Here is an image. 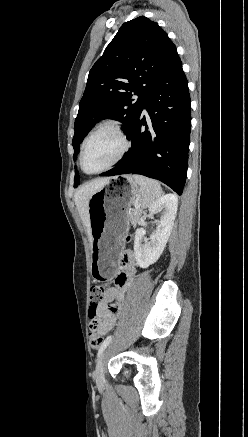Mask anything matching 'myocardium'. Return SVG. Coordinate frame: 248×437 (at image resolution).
I'll return each mask as SVG.
<instances>
[{
  "label": "myocardium",
  "mask_w": 248,
  "mask_h": 437,
  "mask_svg": "<svg viewBox=\"0 0 248 437\" xmlns=\"http://www.w3.org/2000/svg\"><path fill=\"white\" fill-rule=\"evenodd\" d=\"M103 130H111L114 133H116L122 142V148H121L120 152L118 153V155L116 156V158L112 162H110L107 166H105L104 168H102L98 171H95V172H88L85 168V165H84V153H85L86 145H87L88 141L94 135H96L98 132L103 131ZM130 148H131V142H130L125 130L118 122H115V121L103 122V123L97 125L83 140L82 145H81V150H80V157H79L80 167H81L82 171L86 174L94 175V174L103 173V172L111 169L112 167H114L117 163H119L125 157V155L128 153Z\"/></svg>",
  "instance_id": "1"
}]
</instances>
